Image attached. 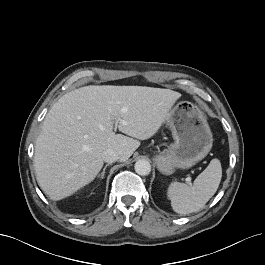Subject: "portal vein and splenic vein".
Masks as SVG:
<instances>
[{"label":"portal vein and splenic vein","instance_id":"obj_1","mask_svg":"<svg viewBox=\"0 0 265 265\" xmlns=\"http://www.w3.org/2000/svg\"><path fill=\"white\" fill-rule=\"evenodd\" d=\"M187 183H188L189 185H191V182H190V180H187Z\"/></svg>","mask_w":265,"mask_h":265}]
</instances>
